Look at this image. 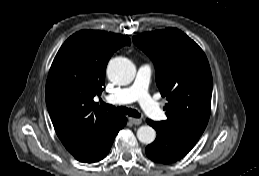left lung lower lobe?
Instances as JSON below:
<instances>
[{"label":"left lung lower lobe","mask_w":259,"mask_h":176,"mask_svg":"<svg viewBox=\"0 0 259 176\" xmlns=\"http://www.w3.org/2000/svg\"><path fill=\"white\" fill-rule=\"evenodd\" d=\"M147 123L157 132L155 141L145 149L152 161L164 164L173 163L183 158L197 142L170 133L165 127L158 125V122L147 120Z\"/></svg>","instance_id":"obj_1"}]
</instances>
